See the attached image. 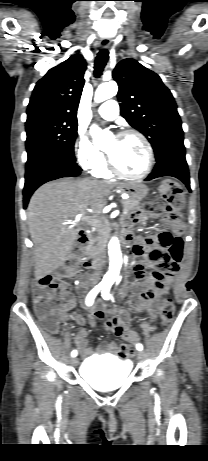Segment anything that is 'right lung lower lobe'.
<instances>
[{
  "instance_id": "98d812e1",
  "label": "right lung lower lobe",
  "mask_w": 208,
  "mask_h": 461,
  "mask_svg": "<svg viewBox=\"0 0 208 461\" xmlns=\"http://www.w3.org/2000/svg\"><path fill=\"white\" fill-rule=\"evenodd\" d=\"M81 168L69 157L58 153H46L26 164L23 207L26 209L29 198L42 184L62 177L80 175Z\"/></svg>"
}]
</instances>
